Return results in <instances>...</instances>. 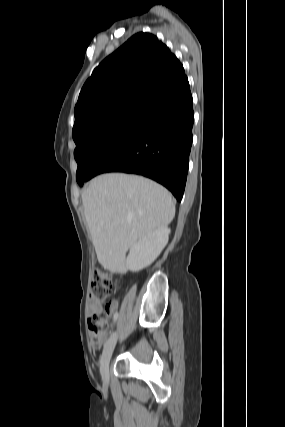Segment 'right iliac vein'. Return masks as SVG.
<instances>
[{
	"label": "right iliac vein",
	"mask_w": 285,
	"mask_h": 427,
	"mask_svg": "<svg viewBox=\"0 0 285 427\" xmlns=\"http://www.w3.org/2000/svg\"><path fill=\"white\" fill-rule=\"evenodd\" d=\"M117 338L118 333L114 332L107 341L100 359V373L102 378L105 380L109 378V363L117 342Z\"/></svg>",
	"instance_id": "1"
}]
</instances>
